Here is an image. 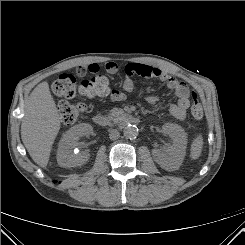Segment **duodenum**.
Masks as SVG:
<instances>
[{
  "mask_svg": "<svg viewBox=\"0 0 245 245\" xmlns=\"http://www.w3.org/2000/svg\"><path fill=\"white\" fill-rule=\"evenodd\" d=\"M95 124L101 127H108L110 125V120L104 115L97 114L93 117ZM119 123L123 124H139V118L127 114H121L118 119Z\"/></svg>",
  "mask_w": 245,
  "mask_h": 245,
  "instance_id": "410a0bca",
  "label": "duodenum"
}]
</instances>
